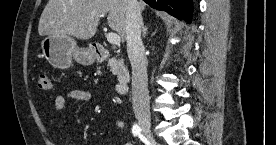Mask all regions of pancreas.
<instances>
[{"mask_svg": "<svg viewBox=\"0 0 276 145\" xmlns=\"http://www.w3.org/2000/svg\"><path fill=\"white\" fill-rule=\"evenodd\" d=\"M108 66L110 67V71L113 73V74H116L117 71H118V65H117V62L115 60H110L108 62Z\"/></svg>", "mask_w": 276, "mask_h": 145, "instance_id": "pancreas-1", "label": "pancreas"}]
</instances>
